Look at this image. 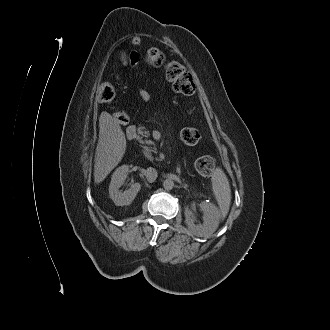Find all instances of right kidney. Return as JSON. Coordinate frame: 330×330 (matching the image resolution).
Here are the masks:
<instances>
[{"instance_id":"1","label":"right kidney","mask_w":330,"mask_h":330,"mask_svg":"<svg viewBox=\"0 0 330 330\" xmlns=\"http://www.w3.org/2000/svg\"><path fill=\"white\" fill-rule=\"evenodd\" d=\"M129 172L128 165L118 167L112 175L109 185V196L117 206H125L131 204L141 189L140 183H134L128 190L122 192L119 188L127 178Z\"/></svg>"}]
</instances>
